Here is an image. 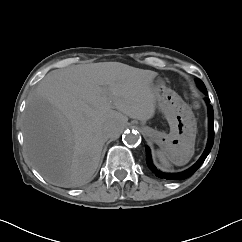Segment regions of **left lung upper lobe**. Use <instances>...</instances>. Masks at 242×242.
<instances>
[{"label":"left lung upper lobe","instance_id":"5c2ea615","mask_svg":"<svg viewBox=\"0 0 242 242\" xmlns=\"http://www.w3.org/2000/svg\"><path fill=\"white\" fill-rule=\"evenodd\" d=\"M197 84L199 86V88L204 92V93H207V90H206V87L204 85V83L201 81V80H197Z\"/></svg>","mask_w":242,"mask_h":242}]
</instances>
